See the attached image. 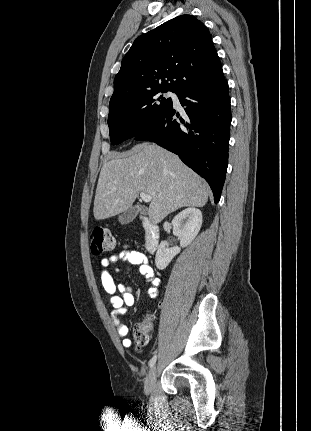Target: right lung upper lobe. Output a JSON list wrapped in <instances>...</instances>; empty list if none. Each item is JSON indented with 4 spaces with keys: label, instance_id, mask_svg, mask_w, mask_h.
Listing matches in <instances>:
<instances>
[{
    "label": "right lung upper lobe",
    "instance_id": "cb5924a9",
    "mask_svg": "<svg viewBox=\"0 0 311 431\" xmlns=\"http://www.w3.org/2000/svg\"><path fill=\"white\" fill-rule=\"evenodd\" d=\"M220 70L206 26L192 15H181L134 41L115 76L111 99L153 90L176 93Z\"/></svg>",
    "mask_w": 311,
    "mask_h": 431
}]
</instances>
